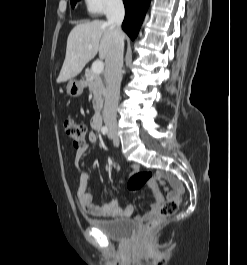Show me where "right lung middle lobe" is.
Returning <instances> with one entry per match:
<instances>
[{"instance_id":"1","label":"right lung middle lobe","mask_w":247,"mask_h":265,"mask_svg":"<svg viewBox=\"0 0 247 265\" xmlns=\"http://www.w3.org/2000/svg\"><path fill=\"white\" fill-rule=\"evenodd\" d=\"M77 1H79V0H70L72 7L75 6V4H76Z\"/></svg>"}]
</instances>
